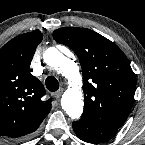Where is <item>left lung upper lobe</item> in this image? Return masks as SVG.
Returning <instances> with one entry per match:
<instances>
[{
    "instance_id": "left-lung-upper-lobe-1",
    "label": "left lung upper lobe",
    "mask_w": 145,
    "mask_h": 145,
    "mask_svg": "<svg viewBox=\"0 0 145 145\" xmlns=\"http://www.w3.org/2000/svg\"><path fill=\"white\" fill-rule=\"evenodd\" d=\"M53 37L79 58L84 79L82 118L99 127L118 130L130 113L136 89L135 74L125 54L87 28L63 27L55 30Z\"/></svg>"
}]
</instances>
